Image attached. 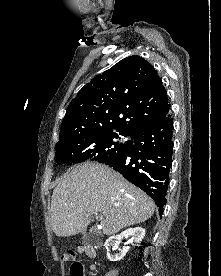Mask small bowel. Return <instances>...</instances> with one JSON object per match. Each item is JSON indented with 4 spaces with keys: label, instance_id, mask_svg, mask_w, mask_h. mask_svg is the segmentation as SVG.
Listing matches in <instances>:
<instances>
[{
    "label": "small bowel",
    "instance_id": "1",
    "mask_svg": "<svg viewBox=\"0 0 221 276\" xmlns=\"http://www.w3.org/2000/svg\"><path fill=\"white\" fill-rule=\"evenodd\" d=\"M80 252L85 253L89 257H95V250L91 246H83L80 248Z\"/></svg>",
    "mask_w": 221,
    "mask_h": 276
}]
</instances>
